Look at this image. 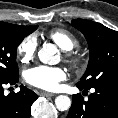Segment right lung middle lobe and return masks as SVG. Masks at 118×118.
<instances>
[{
	"mask_svg": "<svg viewBox=\"0 0 118 118\" xmlns=\"http://www.w3.org/2000/svg\"><path fill=\"white\" fill-rule=\"evenodd\" d=\"M27 35L14 24L0 22V81L18 76L16 49Z\"/></svg>",
	"mask_w": 118,
	"mask_h": 118,
	"instance_id": "dd1d6c3e",
	"label": "right lung middle lobe"
}]
</instances>
